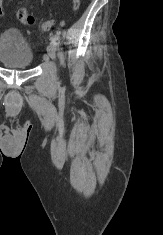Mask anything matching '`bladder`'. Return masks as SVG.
Instances as JSON below:
<instances>
[{
  "label": "bladder",
  "instance_id": "31cf9c89",
  "mask_svg": "<svg viewBox=\"0 0 163 235\" xmlns=\"http://www.w3.org/2000/svg\"><path fill=\"white\" fill-rule=\"evenodd\" d=\"M34 61L33 49L17 28L0 34V62L13 69H28Z\"/></svg>",
  "mask_w": 163,
  "mask_h": 235
}]
</instances>
